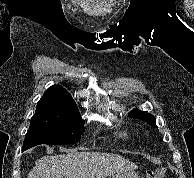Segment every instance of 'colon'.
<instances>
[{"instance_id":"colon-1","label":"colon","mask_w":194,"mask_h":178,"mask_svg":"<svg viewBox=\"0 0 194 178\" xmlns=\"http://www.w3.org/2000/svg\"><path fill=\"white\" fill-rule=\"evenodd\" d=\"M166 177V168L158 167L154 168L147 173V178H165Z\"/></svg>"}]
</instances>
